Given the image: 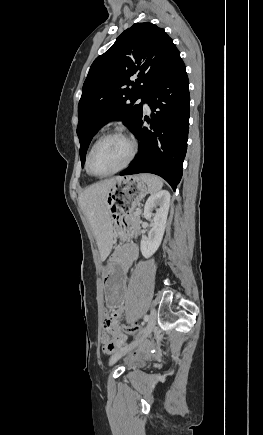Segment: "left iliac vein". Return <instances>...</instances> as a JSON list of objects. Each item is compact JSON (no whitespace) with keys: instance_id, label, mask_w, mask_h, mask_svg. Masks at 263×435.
Returning a JSON list of instances; mask_svg holds the SVG:
<instances>
[{"instance_id":"left-iliac-vein-1","label":"left iliac vein","mask_w":263,"mask_h":435,"mask_svg":"<svg viewBox=\"0 0 263 435\" xmlns=\"http://www.w3.org/2000/svg\"><path fill=\"white\" fill-rule=\"evenodd\" d=\"M156 320H157V312L155 309L151 310L150 316H149V320L147 323L146 328L144 329L142 336L134 341L133 343L125 346L124 348H122L121 350H119L118 352L115 353V355L110 359V365H113L117 360H119L123 355H125L126 353H128L129 351L133 350L136 346H138L145 338H147L150 333L152 332V330L154 329L155 325H156Z\"/></svg>"}]
</instances>
